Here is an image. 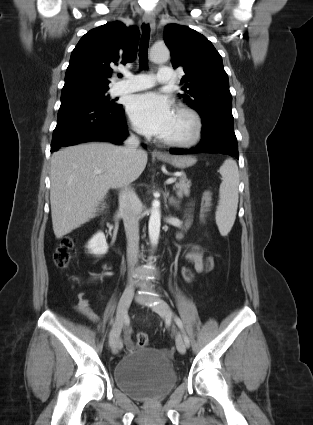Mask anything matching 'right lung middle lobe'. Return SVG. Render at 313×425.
Instances as JSON below:
<instances>
[{
    "label": "right lung middle lobe",
    "mask_w": 313,
    "mask_h": 425,
    "mask_svg": "<svg viewBox=\"0 0 313 425\" xmlns=\"http://www.w3.org/2000/svg\"><path fill=\"white\" fill-rule=\"evenodd\" d=\"M109 88H105V89H84V90H78V91H74L71 92L73 94H78V95H83L89 98H92L102 104L108 105V106H114L116 105L113 102H110L108 99V91Z\"/></svg>",
    "instance_id": "dd1d6c3e"
}]
</instances>
